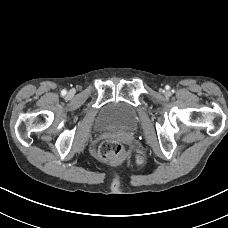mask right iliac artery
I'll return each mask as SVG.
<instances>
[{
    "label": "right iliac artery",
    "mask_w": 228,
    "mask_h": 228,
    "mask_svg": "<svg viewBox=\"0 0 228 228\" xmlns=\"http://www.w3.org/2000/svg\"><path fill=\"white\" fill-rule=\"evenodd\" d=\"M66 93H67L66 90H62V91H61V94H62L63 96L66 95Z\"/></svg>",
    "instance_id": "1"
}]
</instances>
